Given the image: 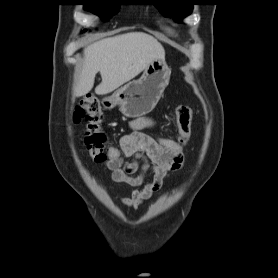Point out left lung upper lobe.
Returning <instances> with one entry per match:
<instances>
[{"label":"left lung upper lobe","mask_w":278,"mask_h":278,"mask_svg":"<svg viewBox=\"0 0 278 278\" xmlns=\"http://www.w3.org/2000/svg\"><path fill=\"white\" fill-rule=\"evenodd\" d=\"M154 5L164 16L184 18L192 12V3L188 0H156Z\"/></svg>","instance_id":"1"}]
</instances>
